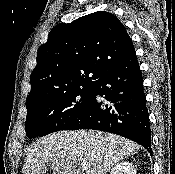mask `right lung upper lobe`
Masks as SVG:
<instances>
[{
	"instance_id": "right-lung-upper-lobe-1",
	"label": "right lung upper lobe",
	"mask_w": 175,
	"mask_h": 174,
	"mask_svg": "<svg viewBox=\"0 0 175 174\" xmlns=\"http://www.w3.org/2000/svg\"><path fill=\"white\" fill-rule=\"evenodd\" d=\"M133 54L126 28L109 12L58 24L38 50L26 106L63 91L95 85L108 69Z\"/></svg>"
}]
</instances>
